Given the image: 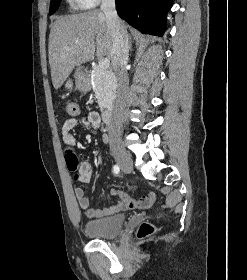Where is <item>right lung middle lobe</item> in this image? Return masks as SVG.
<instances>
[{
  "mask_svg": "<svg viewBox=\"0 0 247 280\" xmlns=\"http://www.w3.org/2000/svg\"><path fill=\"white\" fill-rule=\"evenodd\" d=\"M60 0H51L50 3V14H53L59 5Z\"/></svg>",
  "mask_w": 247,
  "mask_h": 280,
  "instance_id": "1",
  "label": "right lung middle lobe"
}]
</instances>
